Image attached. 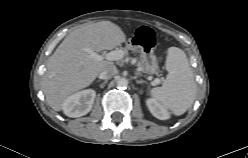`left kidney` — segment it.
<instances>
[{
	"mask_svg": "<svg viewBox=\"0 0 248 158\" xmlns=\"http://www.w3.org/2000/svg\"><path fill=\"white\" fill-rule=\"evenodd\" d=\"M146 105L152 115L157 119L167 120L170 118V113L168 112V110L155 99L148 98L146 100Z\"/></svg>",
	"mask_w": 248,
	"mask_h": 158,
	"instance_id": "5707ae66",
	"label": "left kidney"
}]
</instances>
